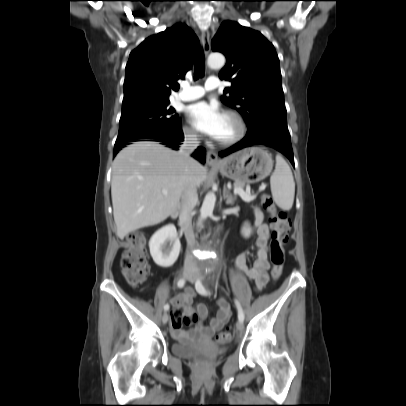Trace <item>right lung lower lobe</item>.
<instances>
[{
    "instance_id": "right-lung-lower-lobe-1",
    "label": "right lung lower lobe",
    "mask_w": 406,
    "mask_h": 406,
    "mask_svg": "<svg viewBox=\"0 0 406 406\" xmlns=\"http://www.w3.org/2000/svg\"><path fill=\"white\" fill-rule=\"evenodd\" d=\"M183 132L181 129V124L180 122L177 124L175 128H173L170 131L167 132H161L157 133L154 135H148V136H138V137H132V138H127L123 140H117L115 145H114V156L126 145L130 144V142H135V141H140L142 139H149L151 141H156V142H161V144L166 145L167 147L173 148L175 150H178L180 142L183 141ZM194 158L199 160L202 163H205L206 160V151L204 148L199 147L196 149L194 154L192 155Z\"/></svg>"
}]
</instances>
